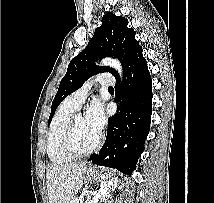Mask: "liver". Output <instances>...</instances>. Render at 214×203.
I'll list each match as a JSON object with an SVG mask.
<instances>
[{"label": "liver", "mask_w": 214, "mask_h": 203, "mask_svg": "<svg viewBox=\"0 0 214 203\" xmlns=\"http://www.w3.org/2000/svg\"><path fill=\"white\" fill-rule=\"evenodd\" d=\"M85 170L84 162L50 166L46 173L49 203H70L83 185Z\"/></svg>", "instance_id": "obj_1"}]
</instances>
